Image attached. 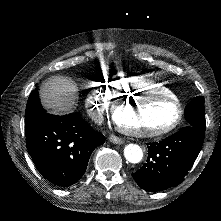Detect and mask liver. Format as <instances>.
<instances>
[{"label": "liver", "mask_w": 221, "mask_h": 221, "mask_svg": "<svg viewBox=\"0 0 221 221\" xmlns=\"http://www.w3.org/2000/svg\"><path fill=\"white\" fill-rule=\"evenodd\" d=\"M38 92L41 106L53 115H68L77 107L78 85L68 76L56 74L43 79Z\"/></svg>", "instance_id": "liver-1"}]
</instances>
